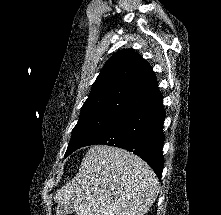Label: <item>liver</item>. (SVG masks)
Segmentation results:
<instances>
[{"mask_svg":"<svg viewBox=\"0 0 221 215\" xmlns=\"http://www.w3.org/2000/svg\"><path fill=\"white\" fill-rule=\"evenodd\" d=\"M158 193L159 181L140 157L121 148L95 145L54 201L71 203L77 215H144Z\"/></svg>","mask_w":221,"mask_h":215,"instance_id":"6515ba94","label":"liver"}]
</instances>
